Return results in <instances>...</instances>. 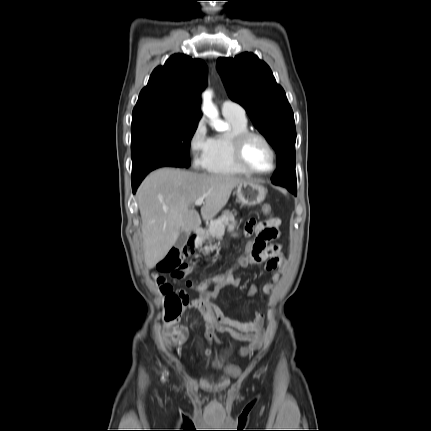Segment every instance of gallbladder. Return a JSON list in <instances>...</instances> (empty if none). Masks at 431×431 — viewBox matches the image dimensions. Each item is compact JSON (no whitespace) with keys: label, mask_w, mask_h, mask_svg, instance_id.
<instances>
[{"label":"gallbladder","mask_w":431,"mask_h":431,"mask_svg":"<svg viewBox=\"0 0 431 431\" xmlns=\"http://www.w3.org/2000/svg\"><path fill=\"white\" fill-rule=\"evenodd\" d=\"M188 238H189V233L186 231H181L175 242V247H177L178 249L183 248L186 245Z\"/></svg>","instance_id":"1"}]
</instances>
